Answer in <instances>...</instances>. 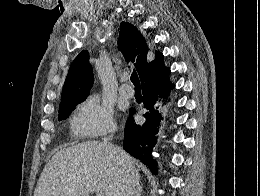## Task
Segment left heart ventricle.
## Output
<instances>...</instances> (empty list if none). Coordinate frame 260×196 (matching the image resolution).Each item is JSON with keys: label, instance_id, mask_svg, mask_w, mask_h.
<instances>
[{"label": "left heart ventricle", "instance_id": "obj_1", "mask_svg": "<svg viewBox=\"0 0 260 196\" xmlns=\"http://www.w3.org/2000/svg\"><path fill=\"white\" fill-rule=\"evenodd\" d=\"M66 190H55V192H65ZM95 192H107V190H95Z\"/></svg>", "mask_w": 260, "mask_h": 196}]
</instances>
